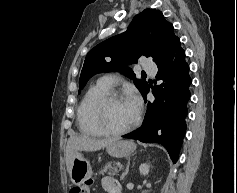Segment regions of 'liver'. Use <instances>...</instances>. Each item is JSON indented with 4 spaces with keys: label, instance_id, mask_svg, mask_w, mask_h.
Returning a JSON list of instances; mask_svg holds the SVG:
<instances>
[{
    "label": "liver",
    "instance_id": "obj_1",
    "mask_svg": "<svg viewBox=\"0 0 237 193\" xmlns=\"http://www.w3.org/2000/svg\"><path fill=\"white\" fill-rule=\"evenodd\" d=\"M116 140L118 139L117 138L94 139L86 135L70 136L67 142L66 151H65L66 166H67L68 173L70 174L71 172L73 157L76 152L97 151L108 146L109 144H111L112 142Z\"/></svg>",
    "mask_w": 237,
    "mask_h": 193
}]
</instances>
